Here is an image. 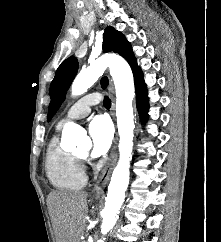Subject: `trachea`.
Segmentation results:
<instances>
[{
    "label": "trachea",
    "mask_w": 221,
    "mask_h": 242,
    "mask_svg": "<svg viewBox=\"0 0 221 242\" xmlns=\"http://www.w3.org/2000/svg\"><path fill=\"white\" fill-rule=\"evenodd\" d=\"M103 106L106 108V109H109L111 107V100L109 99L108 96H105L104 97V100H103Z\"/></svg>",
    "instance_id": "obj_1"
}]
</instances>
